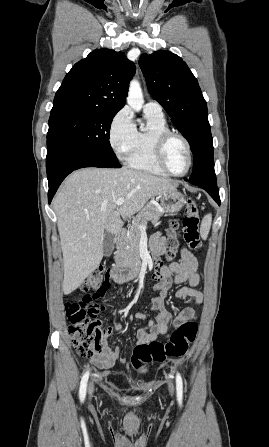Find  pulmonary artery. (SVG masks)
<instances>
[{
  "label": "pulmonary artery",
  "mask_w": 269,
  "mask_h": 447,
  "mask_svg": "<svg viewBox=\"0 0 269 447\" xmlns=\"http://www.w3.org/2000/svg\"><path fill=\"white\" fill-rule=\"evenodd\" d=\"M144 112L156 115L158 117H164L162 106L155 100H149L144 105Z\"/></svg>",
  "instance_id": "e3ab8cb5"
}]
</instances>
